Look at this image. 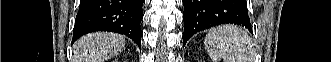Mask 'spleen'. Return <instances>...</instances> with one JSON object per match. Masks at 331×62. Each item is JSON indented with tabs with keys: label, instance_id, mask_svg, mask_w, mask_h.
<instances>
[{
	"label": "spleen",
	"instance_id": "3e777b00",
	"mask_svg": "<svg viewBox=\"0 0 331 62\" xmlns=\"http://www.w3.org/2000/svg\"><path fill=\"white\" fill-rule=\"evenodd\" d=\"M213 60L225 62H253L254 48L250 36L237 26H221L211 29L204 41Z\"/></svg>",
	"mask_w": 331,
	"mask_h": 62
}]
</instances>
